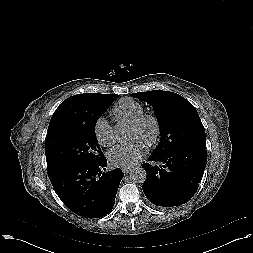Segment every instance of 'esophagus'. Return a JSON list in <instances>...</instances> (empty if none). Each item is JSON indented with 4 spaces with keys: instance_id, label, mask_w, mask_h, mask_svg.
I'll return each mask as SVG.
<instances>
[{
    "instance_id": "34e87169",
    "label": "esophagus",
    "mask_w": 253,
    "mask_h": 253,
    "mask_svg": "<svg viewBox=\"0 0 253 253\" xmlns=\"http://www.w3.org/2000/svg\"><path fill=\"white\" fill-rule=\"evenodd\" d=\"M122 171L127 174L132 171V167L130 166L122 167Z\"/></svg>"
}]
</instances>
